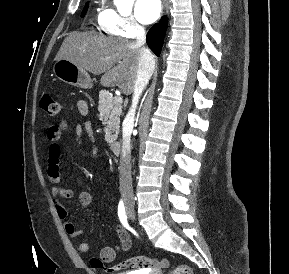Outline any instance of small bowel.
Returning a JSON list of instances; mask_svg holds the SVG:
<instances>
[{
    "instance_id": "c3829d8e",
    "label": "small bowel",
    "mask_w": 289,
    "mask_h": 274,
    "mask_svg": "<svg viewBox=\"0 0 289 274\" xmlns=\"http://www.w3.org/2000/svg\"><path fill=\"white\" fill-rule=\"evenodd\" d=\"M81 109L86 110V105L81 104ZM69 123L66 120H61L58 123L49 126L46 138L49 142L46 166L47 175L52 184L51 194L52 201L55 206L58 217L64 222V227L69 236L76 238L82 234V230L78 229L72 222L68 221V211L64 205V199H70L74 196V190L70 187H63L60 185L61 173H60V157H61V145L60 141L63 133L68 130ZM76 133L81 136L84 132L94 140L92 126L89 122L84 126L77 124L75 127ZM96 155V152H93ZM79 202L82 206L88 207L94 200L93 191L90 187L79 193ZM117 234L119 236V245L106 246L100 252V260L104 263H111L115 260L118 252L128 251L131 247V239L129 234L124 230L121 225L116 227ZM79 250L81 252H88L90 245L87 241L79 242Z\"/></svg>"
}]
</instances>
